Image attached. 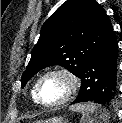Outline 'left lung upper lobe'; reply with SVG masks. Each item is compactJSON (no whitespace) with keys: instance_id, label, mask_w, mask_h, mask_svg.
Here are the masks:
<instances>
[{"instance_id":"5c2ea615","label":"left lung upper lobe","mask_w":122,"mask_h":123,"mask_svg":"<svg viewBox=\"0 0 122 123\" xmlns=\"http://www.w3.org/2000/svg\"><path fill=\"white\" fill-rule=\"evenodd\" d=\"M112 30L106 11L95 0H67L43 24L21 78L22 87L52 65H61L79 77Z\"/></svg>"}]
</instances>
